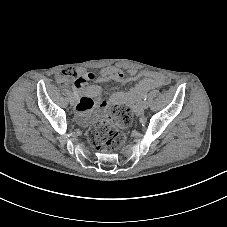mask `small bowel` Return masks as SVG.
<instances>
[{"mask_svg": "<svg viewBox=\"0 0 227 227\" xmlns=\"http://www.w3.org/2000/svg\"><path fill=\"white\" fill-rule=\"evenodd\" d=\"M136 71L128 70L123 73L116 67H107L100 73L78 71L77 79L74 82L75 90L81 95L76 106V118L81 124L89 122V113L99 99L102 87L100 85H88V81L96 80L98 82H107L110 80L130 82L136 79ZM169 83L167 77L163 75H154L141 80L130 92L115 93L109 100L102 102L101 106L107 108L114 104H129L134 109L139 110L142 96L151 89L165 86Z\"/></svg>", "mask_w": 227, "mask_h": 227, "instance_id": "small-bowel-1", "label": "small bowel"}]
</instances>
